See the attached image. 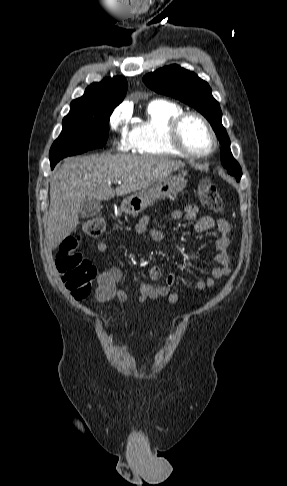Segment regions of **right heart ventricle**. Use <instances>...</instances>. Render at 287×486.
<instances>
[{
	"label": "right heart ventricle",
	"instance_id": "obj_1",
	"mask_svg": "<svg viewBox=\"0 0 287 486\" xmlns=\"http://www.w3.org/2000/svg\"><path fill=\"white\" fill-rule=\"evenodd\" d=\"M182 112L183 107L173 101H151L141 121L128 131L132 150L143 155L180 156L169 143L168 131L172 120Z\"/></svg>",
	"mask_w": 287,
	"mask_h": 486
}]
</instances>
